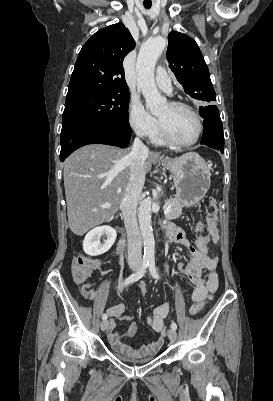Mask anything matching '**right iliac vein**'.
<instances>
[{
	"instance_id": "1",
	"label": "right iliac vein",
	"mask_w": 273,
	"mask_h": 401,
	"mask_svg": "<svg viewBox=\"0 0 273 401\" xmlns=\"http://www.w3.org/2000/svg\"><path fill=\"white\" fill-rule=\"evenodd\" d=\"M131 269H132V270H137V269H138V266H137V265H132V266H131ZM108 325H109V320H103V321L101 322V330H102V331H105V330L107 329Z\"/></svg>"
}]
</instances>
